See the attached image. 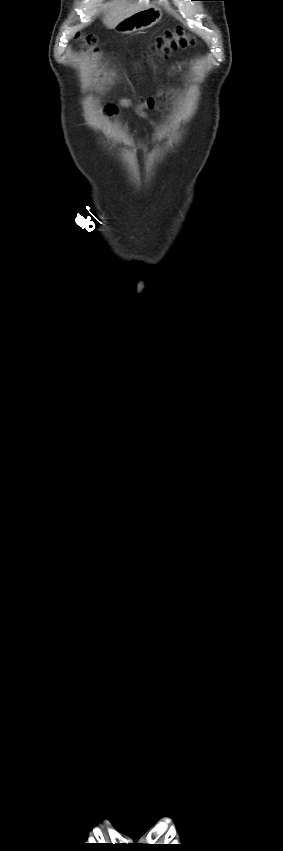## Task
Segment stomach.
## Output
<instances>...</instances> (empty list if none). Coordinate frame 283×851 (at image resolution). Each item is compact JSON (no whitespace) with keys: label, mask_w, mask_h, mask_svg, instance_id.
Wrapping results in <instances>:
<instances>
[{"label":"stomach","mask_w":283,"mask_h":851,"mask_svg":"<svg viewBox=\"0 0 283 851\" xmlns=\"http://www.w3.org/2000/svg\"><path fill=\"white\" fill-rule=\"evenodd\" d=\"M161 17V10L150 6L125 17L114 26V29L122 34H131L153 27Z\"/></svg>","instance_id":"0dacf381"}]
</instances>
